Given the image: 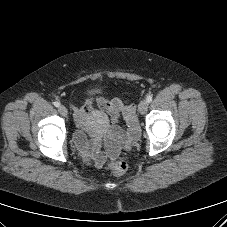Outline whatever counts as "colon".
Instances as JSON below:
<instances>
[{
	"label": "colon",
	"mask_w": 227,
	"mask_h": 227,
	"mask_svg": "<svg viewBox=\"0 0 227 227\" xmlns=\"http://www.w3.org/2000/svg\"><path fill=\"white\" fill-rule=\"evenodd\" d=\"M108 168L114 175L121 176L127 171V164L122 160H116L110 162Z\"/></svg>",
	"instance_id": "obj_1"
}]
</instances>
